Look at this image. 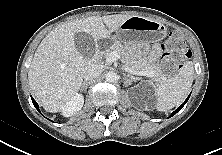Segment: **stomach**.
<instances>
[{
    "label": "stomach",
    "mask_w": 222,
    "mask_h": 155,
    "mask_svg": "<svg viewBox=\"0 0 222 155\" xmlns=\"http://www.w3.org/2000/svg\"><path fill=\"white\" fill-rule=\"evenodd\" d=\"M166 34L167 28L162 23L145 17L132 16L119 27L111 40L121 41L128 46H138L142 43L158 42Z\"/></svg>",
    "instance_id": "0dacf381"
}]
</instances>
